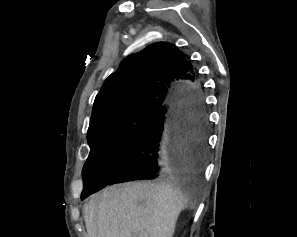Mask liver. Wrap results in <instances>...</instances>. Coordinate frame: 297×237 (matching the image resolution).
<instances>
[{"label":"liver","mask_w":297,"mask_h":237,"mask_svg":"<svg viewBox=\"0 0 297 237\" xmlns=\"http://www.w3.org/2000/svg\"><path fill=\"white\" fill-rule=\"evenodd\" d=\"M187 207L194 203L176 182L137 181L94 195L84 206V219L88 237H173Z\"/></svg>","instance_id":"obj_1"}]
</instances>
